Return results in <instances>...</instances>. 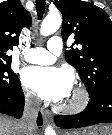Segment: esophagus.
<instances>
[{
	"label": "esophagus",
	"mask_w": 112,
	"mask_h": 135,
	"mask_svg": "<svg viewBox=\"0 0 112 135\" xmlns=\"http://www.w3.org/2000/svg\"><path fill=\"white\" fill-rule=\"evenodd\" d=\"M41 113H42V116H43L45 122H48L51 120V114L48 111L41 109Z\"/></svg>",
	"instance_id": "esophagus-1"
}]
</instances>
